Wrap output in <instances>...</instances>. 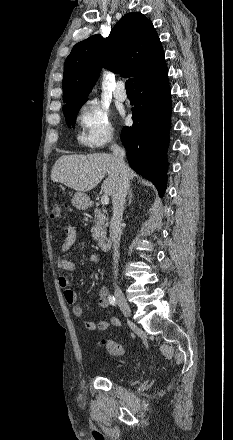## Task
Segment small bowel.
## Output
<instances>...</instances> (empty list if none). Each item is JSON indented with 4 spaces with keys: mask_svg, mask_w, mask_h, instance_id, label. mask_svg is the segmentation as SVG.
I'll return each mask as SVG.
<instances>
[{
    "mask_svg": "<svg viewBox=\"0 0 233 440\" xmlns=\"http://www.w3.org/2000/svg\"><path fill=\"white\" fill-rule=\"evenodd\" d=\"M77 225L70 223L65 227L62 243L60 245L59 253L56 261L60 270L69 273L76 272L75 264L68 260L65 254L73 247L77 240ZM91 259L94 262H99V257L96 254L91 255ZM58 285L63 289V296L66 303L72 306V312L75 317H82L84 315V309L78 305V296L70 287V280L65 275H59L57 278ZM99 299L98 304L101 308L106 309L109 306L108 289L105 286L98 288ZM120 326V320L117 317H112L109 321H95L88 320L84 322V327L89 331H105L109 327Z\"/></svg>",
    "mask_w": 233,
    "mask_h": 440,
    "instance_id": "obj_1",
    "label": "small bowel"
}]
</instances>
